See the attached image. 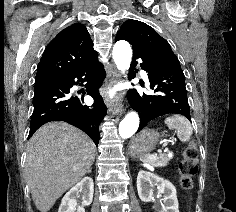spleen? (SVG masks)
<instances>
[{
	"label": "spleen",
	"mask_w": 236,
	"mask_h": 212,
	"mask_svg": "<svg viewBox=\"0 0 236 212\" xmlns=\"http://www.w3.org/2000/svg\"><path fill=\"white\" fill-rule=\"evenodd\" d=\"M165 124L169 129L176 130L177 136L182 142H187L190 140L193 129L190 121L186 117L181 115H173L165 119ZM139 159L143 163H148L154 166L160 165L156 156L152 154L140 155Z\"/></svg>",
	"instance_id": "obj_1"
}]
</instances>
